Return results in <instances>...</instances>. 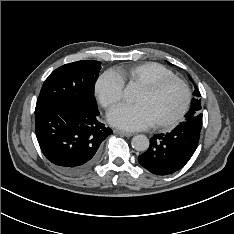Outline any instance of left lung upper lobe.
<instances>
[{"label":"left lung upper lobe","mask_w":234,"mask_h":234,"mask_svg":"<svg viewBox=\"0 0 234 234\" xmlns=\"http://www.w3.org/2000/svg\"><path fill=\"white\" fill-rule=\"evenodd\" d=\"M194 98H192L190 110L185 115V120L180 123L186 127L193 128L201 132L202 128V114H201V95L195 87Z\"/></svg>","instance_id":"1"}]
</instances>
